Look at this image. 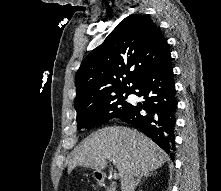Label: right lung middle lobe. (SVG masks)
Wrapping results in <instances>:
<instances>
[{
  "label": "right lung middle lobe",
  "mask_w": 221,
  "mask_h": 191,
  "mask_svg": "<svg viewBox=\"0 0 221 191\" xmlns=\"http://www.w3.org/2000/svg\"><path fill=\"white\" fill-rule=\"evenodd\" d=\"M132 93L133 90L127 91L78 112L76 118L78 129H90L93 126L105 123L112 118L122 119L132 108V104L126 101L127 96Z\"/></svg>",
  "instance_id": "1"
}]
</instances>
